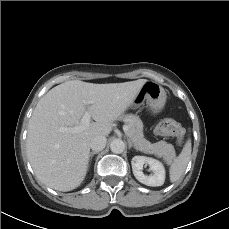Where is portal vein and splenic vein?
Wrapping results in <instances>:
<instances>
[{"label": "portal vein and splenic vein", "instance_id": "1", "mask_svg": "<svg viewBox=\"0 0 229 229\" xmlns=\"http://www.w3.org/2000/svg\"><path fill=\"white\" fill-rule=\"evenodd\" d=\"M84 104L88 106L90 103L88 101H84ZM90 119H91V115L87 111L83 115V117L81 119V125L75 126V127H72V128L62 127V128H60V131H62V132H71V133H77V132L83 131L88 126V124L90 123ZM128 130H129L128 126L124 125L123 126V131L125 132V134L128 133Z\"/></svg>", "mask_w": 229, "mask_h": 229}]
</instances>
